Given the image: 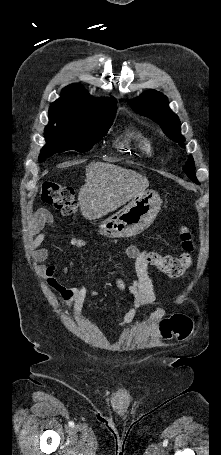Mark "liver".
Masks as SVG:
<instances>
[{"mask_svg":"<svg viewBox=\"0 0 221 455\" xmlns=\"http://www.w3.org/2000/svg\"><path fill=\"white\" fill-rule=\"evenodd\" d=\"M149 186L141 174L118 165L92 162L86 167L85 184L78 193L82 215L94 220L113 212Z\"/></svg>","mask_w":221,"mask_h":455,"instance_id":"6515ba94","label":"liver"}]
</instances>
